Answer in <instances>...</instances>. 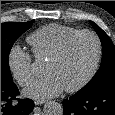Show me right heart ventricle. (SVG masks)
<instances>
[{
    "instance_id": "obj_1",
    "label": "right heart ventricle",
    "mask_w": 115,
    "mask_h": 115,
    "mask_svg": "<svg viewBox=\"0 0 115 115\" xmlns=\"http://www.w3.org/2000/svg\"><path fill=\"white\" fill-rule=\"evenodd\" d=\"M78 31L80 30L74 27L53 23L35 30L27 41L36 58L48 59L66 38Z\"/></svg>"
}]
</instances>
